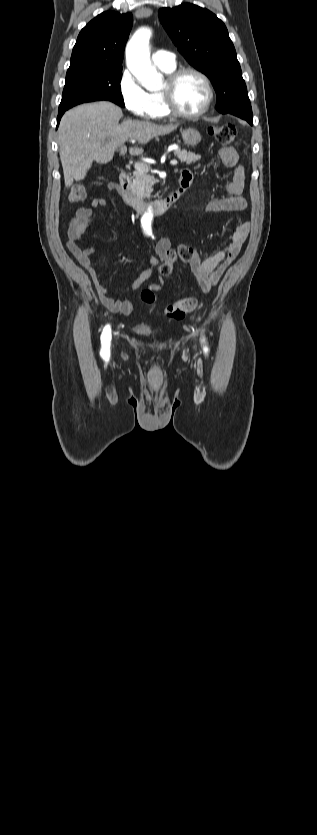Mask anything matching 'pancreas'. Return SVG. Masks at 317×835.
<instances>
[{"label":"pancreas","mask_w":317,"mask_h":835,"mask_svg":"<svg viewBox=\"0 0 317 835\" xmlns=\"http://www.w3.org/2000/svg\"><path fill=\"white\" fill-rule=\"evenodd\" d=\"M174 155L177 158H179L181 162L186 163L188 165L195 163L197 160L201 158L200 155L187 151L185 149H175ZM146 166L147 170H136L133 173V181L129 185V194L127 197V199L131 202L142 201L143 199L149 198L151 196L155 179L153 176L147 174V172L150 169V166Z\"/></svg>","instance_id":"pancreas-1"}]
</instances>
